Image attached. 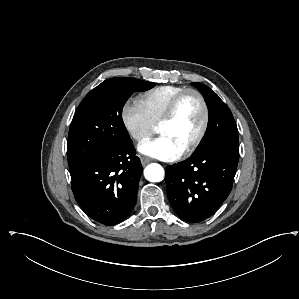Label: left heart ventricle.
I'll list each match as a JSON object with an SVG mask.
<instances>
[{
	"instance_id": "1",
	"label": "left heart ventricle",
	"mask_w": 299,
	"mask_h": 299,
	"mask_svg": "<svg viewBox=\"0 0 299 299\" xmlns=\"http://www.w3.org/2000/svg\"><path fill=\"white\" fill-rule=\"evenodd\" d=\"M202 119L203 109L199 99L189 95L180 104L174 120L159 127L158 132L184 150L197 135Z\"/></svg>"
}]
</instances>
